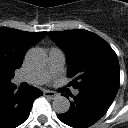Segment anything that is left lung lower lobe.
<instances>
[{"instance_id": "0a47b994", "label": "left lung lower lobe", "mask_w": 128, "mask_h": 128, "mask_svg": "<svg viewBox=\"0 0 128 128\" xmlns=\"http://www.w3.org/2000/svg\"><path fill=\"white\" fill-rule=\"evenodd\" d=\"M118 89L107 86H95L79 90L73 96L70 109L58 118L73 128H87L96 123L112 104Z\"/></svg>"}]
</instances>
